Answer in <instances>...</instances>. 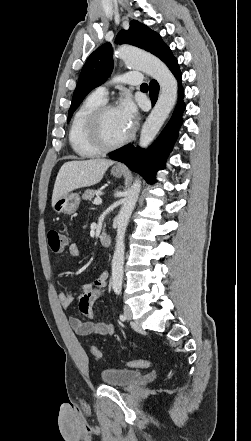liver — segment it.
Returning <instances> with one entry per match:
<instances>
[{
	"label": "liver",
	"instance_id": "1",
	"mask_svg": "<svg viewBox=\"0 0 251 441\" xmlns=\"http://www.w3.org/2000/svg\"><path fill=\"white\" fill-rule=\"evenodd\" d=\"M113 163V161L106 159H89L64 163L58 172L54 184L52 206L64 194L100 182L106 170Z\"/></svg>",
	"mask_w": 251,
	"mask_h": 441
}]
</instances>
